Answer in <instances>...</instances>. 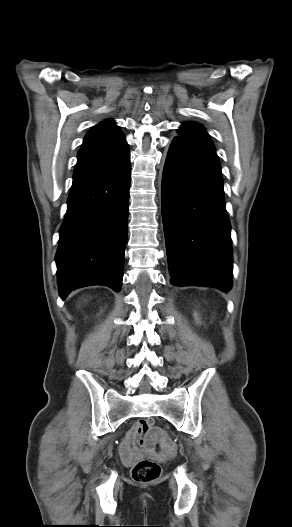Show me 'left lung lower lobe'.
<instances>
[{
  "label": "left lung lower lobe",
  "instance_id": "obj_1",
  "mask_svg": "<svg viewBox=\"0 0 292 527\" xmlns=\"http://www.w3.org/2000/svg\"><path fill=\"white\" fill-rule=\"evenodd\" d=\"M161 196L171 284L229 291L230 222L215 150L173 141L164 166Z\"/></svg>",
  "mask_w": 292,
  "mask_h": 527
}]
</instances>
